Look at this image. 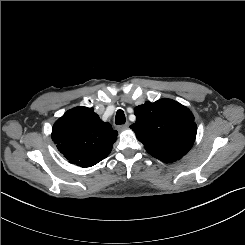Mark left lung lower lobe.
<instances>
[{
	"label": "left lung lower lobe",
	"mask_w": 245,
	"mask_h": 245,
	"mask_svg": "<svg viewBox=\"0 0 245 245\" xmlns=\"http://www.w3.org/2000/svg\"><path fill=\"white\" fill-rule=\"evenodd\" d=\"M159 160H161V161H163V162H166V163H170V162L176 161V160H174V159H166V158H164V159H159Z\"/></svg>",
	"instance_id": "left-lung-lower-lobe-1"
}]
</instances>
